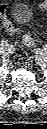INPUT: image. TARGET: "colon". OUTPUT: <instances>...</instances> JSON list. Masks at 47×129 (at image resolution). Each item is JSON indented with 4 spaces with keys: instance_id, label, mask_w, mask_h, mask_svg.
Listing matches in <instances>:
<instances>
[{
    "instance_id": "5ec220e1",
    "label": "colon",
    "mask_w": 47,
    "mask_h": 129,
    "mask_svg": "<svg viewBox=\"0 0 47 129\" xmlns=\"http://www.w3.org/2000/svg\"><path fill=\"white\" fill-rule=\"evenodd\" d=\"M45 6H46L45 1H42L39 3V8L43 9V8H45ZM0 13L2 16V23L5 27V29L7 30V32L12 35L16 34L17 29L15 28V26L12 24V22L10 21V19L7 16V6L6 5H2L0 7ZM23 41L28 46L32 45V39L29 36H25Z\"/></svg>"
}]
</instances>
